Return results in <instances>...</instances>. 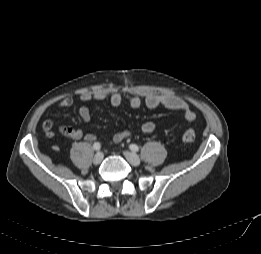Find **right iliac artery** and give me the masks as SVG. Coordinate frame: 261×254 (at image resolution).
<instances>
[{
    "label": "right iliac artery",
    "mask_w": 261,
    "mask_h": 254,
    "mask_svg": "<svg viewBox=\"0 0 261 254\" xmlns=\"http://www.w3.org/2000/svg\"><path fill=\"white\" fill-rule=\"evenodd\" d=\"M100 148H101L100 143H98V142L94 143V145H93L94 150L98 151V150H100Z\"/></svg>",
    "instance_id": "obj_1"
}]
</instances>
